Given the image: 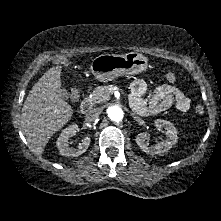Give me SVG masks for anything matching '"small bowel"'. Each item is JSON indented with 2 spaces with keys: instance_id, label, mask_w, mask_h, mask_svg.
Listing matches in <instances>:
<instances>
[{
  "instance_id": "1",
  "label": "small bowel",
  "mask_w": 221,
  "mask_h": 221,
  "mask_svg": "<svg viewBox=\"0 0 221 221\" xmlns=\"http://www.w3.org/2000/svg\"><path fill=\"white\" fill-rule=\"evenodd\" d=\"M148 91V85L143 80H135L131 84L130 104L139 114H158L171 106L180 112L190 108V99L177 87L164 84L157 87L150 99L146 102L143 96Z\"/></svg>"
}]
</instances>
